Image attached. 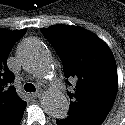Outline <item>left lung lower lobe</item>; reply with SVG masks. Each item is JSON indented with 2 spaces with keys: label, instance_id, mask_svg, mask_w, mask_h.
Wrapping results in <instances>:
<instances>
[{
  "label": "left lung lower lobe",
  "instance_id": "0a47b994",
  "mask_svg": "<svg viewBox=\"0 0 125 125\" xmlns=\"http://www.w3.org/2000/svg\"><path fill=\"white\" fill-rule=\"evenodd\" d=\"M57 125H101L100 123L87 121L73 116L56 120Z\"/></svg>",
  "mask_w": 125,
  "mask_h": 125
}]
</instances>
